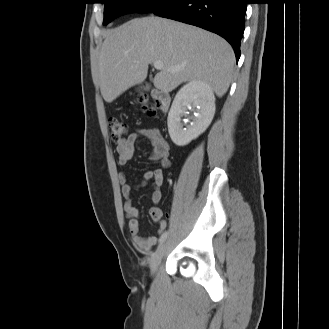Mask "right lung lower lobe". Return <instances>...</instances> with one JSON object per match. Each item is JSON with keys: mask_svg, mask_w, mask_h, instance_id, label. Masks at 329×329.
<instances>
[{"mask_svg": "<svg viewBox=\"0 0 329 329\" xmlns=\"http://www.w3.org/2000/svg\"><path fill=\"white\" fill-rule=\"evenodd\" d=\"M246 0H171L154 14L195 25L225 38L240 58Z\"/></svg>", "mask_w": 329, "mask_h": 329, "instance_id": "1", "label": "right lung lower lobe"}]
</instances>
